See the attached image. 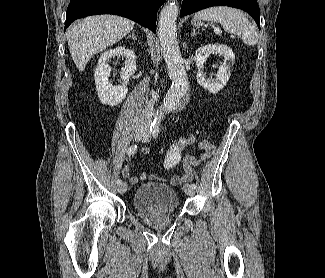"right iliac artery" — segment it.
Wrapping results in <instances>:
<instances>
[{
  "label": "right iliac artery",
  "mask_w": 325,
  "mask_h": 278,
  "mask_svg": "<svg viewBox=\"0 0 325 278\" xmlns=\"http://www.w3.org/2000/svg\"><path fill=\"white\" fill-rule=\"evenodd\" d=\"M136 151H137V145L135 144V145H132L131 147L128 148L127 153L129 155H131V154H134ZM116 183L117 184H121L122 183V180L121 179H117L116 180Z\"/></svg>",
  "instance_id": "82829eb1"
}]
</instances>
